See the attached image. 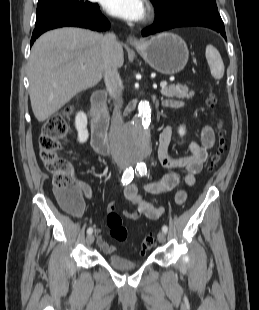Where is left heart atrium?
<instances>
[{"label":"left heart atrium","instance_id":"left-heart-atrium-1","mask_svg":"<svg viewBox=\"0 0 259 310\" xmlns=\"http://www.w3.org/2000/svg\"><path fill=\"white\" fill-rule=\"evenodd\" d=\"M103 8L112 16L133 22L141 20L146 12L144 0H103Z\"/></svg>","mask_w":259,"mask_h":310}]
</instances>
